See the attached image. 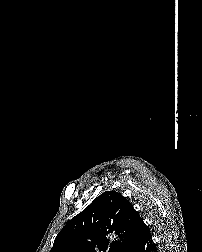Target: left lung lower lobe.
Segmentation results:
<instances>
[{
  "label": "left lung lower lobe",
  "mask_w": 202,
  "mask_h": 252,
  "mask_svg": "<svg viewBox=\"0 0 202 252\" xmlns=\"http://www.w3.org/2000/svg\"><path fill=\"white\" fill-rule=\"evenodd\" d=\"M131 252H158L151 233L143 220L137 225L134 246Z\"/></svg>",
  "instance_id": "obj_1"
}]
</instances>
